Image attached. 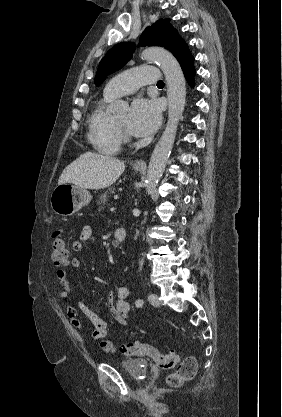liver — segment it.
<instances>
[{
  "instance_id": "obj_1",
  "label": "liver",
  "mask_w": 282,
  "mask_h": 417,
  "mask_svg": "<svg viewBox=\"0 0 282 417\" xmlns=\"http://www.w3.org/2000/svg\"><path fill=\"white\" fill-rule=\"evenodd\" d=\"M125 170L123 160L115 156H104L98 152H83L64 168L58 184L72 182L81 188H107L116 182Z\"/></svg>"
}]
</instances>
